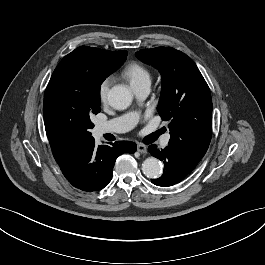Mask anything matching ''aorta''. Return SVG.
<instances>
[{
    "label": "aorta",
    "instance_id": "762f6f07",
    "mask_svg": "<svg viewBox=\"0 0 265 265\" xmlns=\"http://www.w3.org/2000/svg\"><path fill=\"white\" fill-rule=\"evenodd\" d=\"M132 98L131 91L123 85H116L108 92L109 104L117 110H124L129 107ZM142 171L148 178H158L162 174V164L157 158L149 157L144 160Z\"/></svg>",
    "mask_w": 265,
    "mask_h": 265
}]
</instances>
